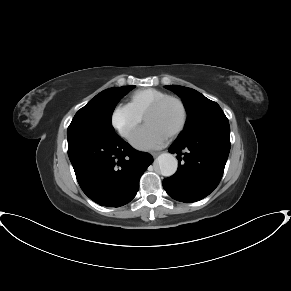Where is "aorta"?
<instances>
[{
  "label": "aorta",
  "mask_w": 291,
  "mask_h": 291,
  "mask_svg": "<svg viewBox=\"0 0 291 291\" xmlns=\"http://www.w3.org/2000/svg\"><path fill=\"white\" fill-rule=\"evenodd\" d=\"M157 163L160 169V173L163 176H172L177 171V159L174 155L170 153H163L159 155L157 158Z\"/></svg>",
  "instance_id": "obj_1"
}]
</instances>
